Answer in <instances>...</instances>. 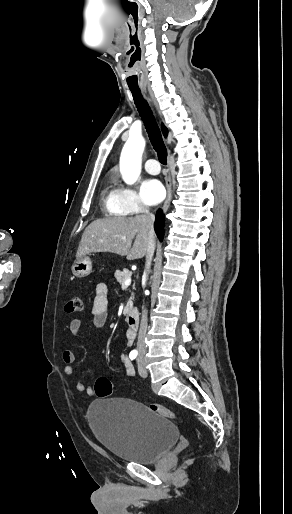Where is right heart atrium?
Listing matches in <instances>:
<instances>
[{
    "label": "right heart atrium",
    "instance_id": "1",
    "mask_svg": "<svg viewBox=\"0 0 292 514\" xmlns=\"http://www.w3.org/2000/svg\"><path fill=\"white\" fill-rule=\"evenodd\" d=\"M116 190L119 203L126 212H130L131 209H147L145 201L134 186L122 185Z\"/></svg>",
    "mask_w": 292,
    "mask_h": 514
}]
</instances>
